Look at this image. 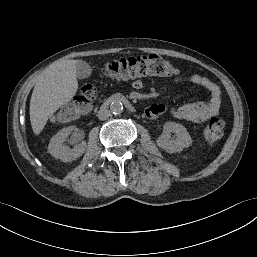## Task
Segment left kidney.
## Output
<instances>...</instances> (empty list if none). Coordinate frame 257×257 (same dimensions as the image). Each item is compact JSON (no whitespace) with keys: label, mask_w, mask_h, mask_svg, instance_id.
<instances>
[{"label":"left kidney","mask_w":257,"mask_h":257,"mask_svg":"<svg viewBox=\"0 0 257 257\" xmlns=\"http://www.w3.org/2000/svg\"><path fill=\"white\" fill-rule=\"evenodd\" d=\"M172 132L176 134V139H171ZM157 144L165 151L175 153L192 145V139L183 125L175 122H167L163 126V133L158 138Z\"/></svg>","instance_id":"left-kidney-1"}]
</instances>
